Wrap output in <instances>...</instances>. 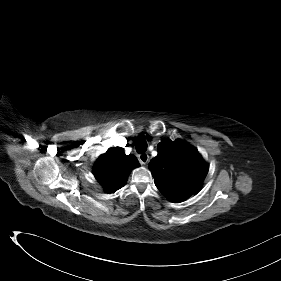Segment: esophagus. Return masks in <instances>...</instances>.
Segmentation results:
<instances>
[{
  "label": "esophagus",
  "mask_w": 281,
  "mask_h": 281,
  "mask_svg": "<svg viewBox=\"0 0 281 281\" xmlns=\"http://www.w3.org/2000/svg\"><path fill=\"white\" fill-rule=\"evenodd\" d=\"M138 159L141 164L145 165L149 161V155L147 153H141L138 155Z\"/></svg>",
  "instance_id": "esophagus-1"
}]
</instances>
